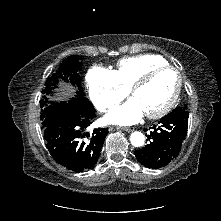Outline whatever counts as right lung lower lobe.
<instances>
[{
  "label": "right lung lower lobe",
  "instance_id": "right-lung-lower-lobe-1",
  "mask_svg": "<svg viewBox=\"0 0 221 221\" xmlns=\"http://www.w3.org/2000/svg\"><path fill=\"white\" fill-rule=\"evenodd\" d=\"M95 116L93 107L68 108L45 117L41 124L46 147L59 164L82 172L97 163L108 129L85 132Z\"/></svg>",
  "mask_w": 221,
  "mask_h": 221
}]
</instances>
